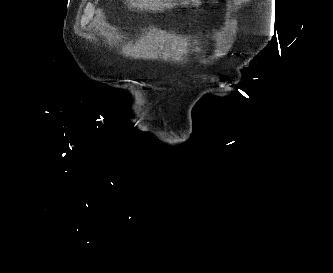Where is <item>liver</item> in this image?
<instances>
[{
    "label": "liver",
    "mask_w": 333,
    "mask_h": 273,
    "mask_svg": "<svg viewBox=\"0 0 333 273\" xmlns=\"http://www.w3.org/2000/svg\"><path fill=\"white\" fill-rule=\"evenodd\" d=\"M192 5L199 6L200 0H184L181 2L183 5ZM128 7L137 8L138 10H149V11H163L165 9H171L177 5L176 1L172 0H127Z\"/></svg>",
    "instance_id": "6515ba94"
}]
</instances>
